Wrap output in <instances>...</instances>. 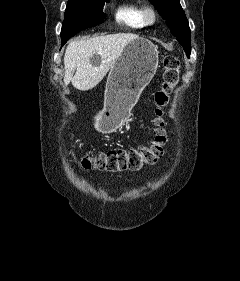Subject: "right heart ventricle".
Instances as JSON below:
<instances>
[{
    "instance_id": "obj_1",
    "label": "right heart ventricle",
    "mask_w": 240,
    "mask_h": 281,
    "mask_svg": "<svg viewBox=\"0 0 240 281\" xmlns=\"http://www.w3.org/2000/svg\"><path fill=\"white\" fill-rule=\"evenodd\" d=\"M142 7L136 3H123L116 12L115 19L118 23L132 29H140L145 26L141 15Z\"/></svg>"
}]
</instances>
